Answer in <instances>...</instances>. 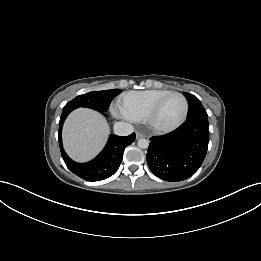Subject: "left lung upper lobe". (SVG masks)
I'll return each instance as SVG.
<instances>
[{"instance_id": "left-lung-upper-lobe-1", "label": "left lung upper lobe", "mask_w": 261, "mask_h": 261, "mask_svg": "<svg viewBox=\"0 0 261 261\" xmlns=\"http://www.w3.org/2000/svg\"><path fill=\"white\" fill-rule=\"evenodd\" d=\"M189 105V113H188V119L197 117V116H207V112L204 109L203 105L199 101L197 97L190 93H184Z\"/></svg>"}]
</instances>
